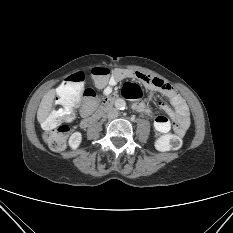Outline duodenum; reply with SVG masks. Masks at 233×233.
<instances>
[{
	"instance_id": "410a0bca",
	"label": "duodenum",
	"mask_w": 233,
	"mask_h": 233,
	"mask_svg": "<svg viewBox=\"0 0 233 233\" xmlns=\"http://www.w3.org/2000/svg\"><path fill=\"white\" fill-rule=\"evenodd\" d=\"M116 98H117V95L115 94H112L106 97L102 105L98 109V111L92 116H90L89 118H86L82 121V126L87 127L92 121L96 120L102 113L106 112L111 107V105L113 104Z\"/></svg>"
}]
</instances>
